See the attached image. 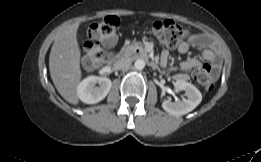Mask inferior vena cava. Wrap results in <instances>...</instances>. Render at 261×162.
Returning <instances> with one entry per match:
<instances>
[{"instance_id": "602c4592", "label": "inferior vena cava", "mask_w": 261, "mask_h": 162, "mask_svg": "<svg viewBox=\"0 0 261 162\" xmlns=\"http://www.w3.org/2000/svg\"><path fill=\"white\" fill-rule=\"evenodd\" d=\"M131 66V60L130 59H121L118 60L115 64H114V68L119 70V69H123L126 70Z\"/></svg>"}]
</instances>
